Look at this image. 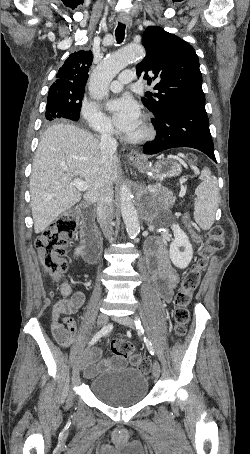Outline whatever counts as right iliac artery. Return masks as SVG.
I'll return each mask as SVG.
<instances>
[{
	"instance_id": "right-iliac-artery-1",
	"label": "right iliac artery",
	"mask_w": 250,
	"mask_h": 454,
	"mask_svg": "<svg viewBox=\"0 0 250 454\" xmlns=\"http://www.w3.org/2000/svg\"><path fill=\"white\" fill-rule=\"evenodd\" d=\"M113 328L112 324H108L105 327H103L98 333H96L92 340L89 342V345H94L102 336H105L108 334Z\"/></svg>"
}]
</instances>
